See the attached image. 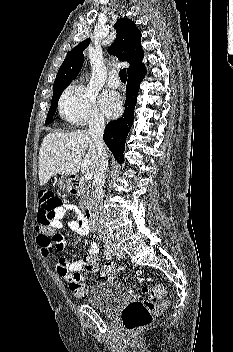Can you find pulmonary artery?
I'll return each instance as SVG.
<instances>
[{"instance_id": "e3ab8cb5", "label": "pulmonary artery", "mask_w": 233, "mask_h": 352, "mask_svg": "<svg viewBox=\"0 0 233 352\" xmlns=\"http://www.w3.org/2000/svg\"><path fill=\"white\" fill-rule=\"evenodd\" d=\"M107 85L111 88H117L120 85V81L117 77V72L115 70H111L108 75Z\"/></svg>"}]
</instances>
